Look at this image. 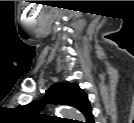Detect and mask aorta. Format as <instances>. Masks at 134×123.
Wrapping results in <instances>:
<instances>
[{"label":"aorta","mask_w":134,"mask_h":123,"mask_svg":"<svg viewBox=\"0 0 134 123\" xmlns=\"http://www.w3.org/2000/svg\"><path fill=\"white\" fill-rule=\"evenodd\" d=\"M58 113L62 116H65L69 119H81L82 115L78 112V110L71 108V107H64L58 110Z\"/></svg>","instance_id":"762f6f07"}]
</instances>
